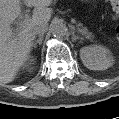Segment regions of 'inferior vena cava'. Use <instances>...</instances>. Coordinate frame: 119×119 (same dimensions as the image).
Returning a JSON list of instances; mask_svg holds the SVG:
<instances>
[{"label": "inferior vena cava", "instance_id": "602c4592", "mask_svg": "<svg viewBox=\"0 0 119 119\" xmlns=\"http://www.w3.org/2000/svg\"><path fill=\"white\" fill-rule=\"evenodd\" d=\"M48 30V25L46 23L38 24L33 28L34 35H43Z\"/></svg>", "mask_w": 119, "mask_h": 119}]
</instances>
